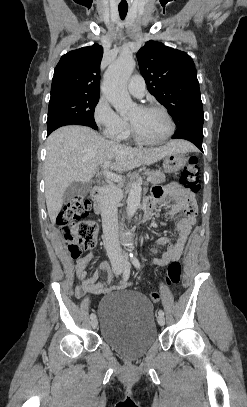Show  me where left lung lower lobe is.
I'll return each instance as SVG.
<instances>
[{"mask_svg": "<svg viewBox=\"0 0 247 407\" xmlns=\"http://www.w3.org/2000/svg\"><path fill=\"white\" fill-rule=\"evenodd\" d=\"M203 124L193 123L191 125L185 126L179 130H176L175 134L172 136L173 139H185L193 144H195L201 151L202 141H203Z\"/></svg>", "mask_w": 247, "mask_h": 407, "instance_id": "obj_1", "label": "left lung lower lobe"}]
</instances>
